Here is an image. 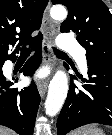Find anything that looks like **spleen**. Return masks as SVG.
I'll list each match as a JSON object with an SVG mask.
<instances>
[{
    "mask_svg": "<svg viewBox=\"0 0 112 135\" xmlns=\"http://www.w3.org/2000/svg\"><path fill=\"white\" fill-rule=\"evenodd\" d=\"M71 135H82L80 131L73 132Z\"/></svg>",
    "mask_w": 112,
    "mask_h": 135,
    "instance_id": "1",
    "label": "spleen"
}]
</instances>
